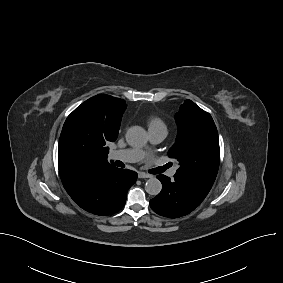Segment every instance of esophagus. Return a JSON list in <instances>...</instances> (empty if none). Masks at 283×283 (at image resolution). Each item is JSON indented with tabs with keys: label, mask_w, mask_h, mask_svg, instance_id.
I'll return each mask as SVG.
<instances>
[{
	"label": "esophagus",
	"mask_w": 283,
	"mask_h": 283,
	"mask_svg": "<svg viewBox=\"0 0 283 283\" xmlns=\"http://www.w3.org/2000/svg\"><path fill=\"white\" fill-rule=\"evenodd\" d=\"M138 177L141 178V179L142 178H151V175L144 173V172H139Z\"/></svg>",
	"instance_id": "esophagus-1"
}]
</instances>
